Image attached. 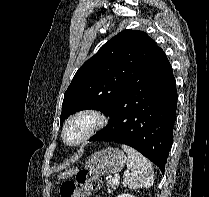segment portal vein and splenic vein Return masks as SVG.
I'll return each instance as SVG.
<instances>
[{
  "label": "portal vein and splenic vein",
  "instance_id": "obj_1",
  "mask_svg": "<svg viewBox=\"0 0 209 197\" xmlns=\"http://www.w3.org/2000/svg\"><path fill=\"white\" fill-rule=\"evenodd\" d=\"M119 178H120V176L116 175L114 178H112L111 182L118 183Z\"/></svg>",
  "mask_w": 209,
  "mask_h": 197
}]
</instances>
